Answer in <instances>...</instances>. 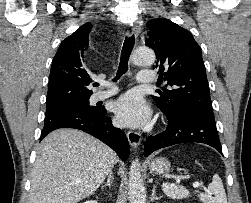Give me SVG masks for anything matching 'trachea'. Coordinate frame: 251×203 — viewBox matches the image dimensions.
<instances>
[{"label": "trachea", "instance_id": "3493384b", "mask_svg": "<svg viewBox=\"0 0 251 203\" xmlns=\"http://www.w3.org/2000/svg\"><path fill=\"white\" fill-rule=\"evenodd\" d=\"M135 44V37L134 35H132L131 37H126L123 47H122V51H121V57H120V63H119V68L117 71V76L114 79V81H116L120 76H122L123 74H125L128 71V60L130 57V54L133 50ZM95 86H98V83L94 84Z\"/></svg>", "mask_w": 251, "mask_h": 203}]
</instances>
